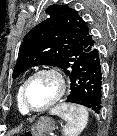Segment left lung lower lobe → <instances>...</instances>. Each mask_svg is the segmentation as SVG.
I'll use <instances>...</instances> for the list:
<instances>
[{"instance_id": "0a47b994", "label": "left lung lower lobe", "mask_w": 117, "mask_h": 136, "mask_svg": "<svg viewBox=\"0 0 117 136\" xmlns=\"http://www.w3.org/2000/svg\"><path fill=\"white\" fill-rule=\"evenodd\" d=\"M102 58L96 41L91 49L80 55L71 67L70 94L66 102L77 103L91 108L96 113L101 111L102 97Z\"/></svg>"}]
</instances>
